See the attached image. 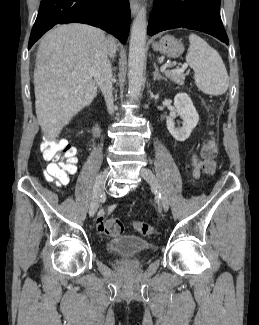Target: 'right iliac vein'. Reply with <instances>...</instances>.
<instances>
[{
  "instance_id": "63e3f726",
  "label": "right iliac vein",
  "mask_w": 259,
  "mask_h": 325,
  "mask_svg": "<svg viewBox=\"0 0 259 325\" xmlns=\"http://www.w3.org/2000/svg\"><path fill=\"white\" fill-rule=\"evenodd\" d=\"M107 178H108V169H105L97 178V180L99 181L98 183L96 182L98 184V193L93 196V199L90 203V208H89L90 217L94 216V214L96 213L99 207L101 196L104 194L105 191Z\"/></svg>"
}]
</instances>
